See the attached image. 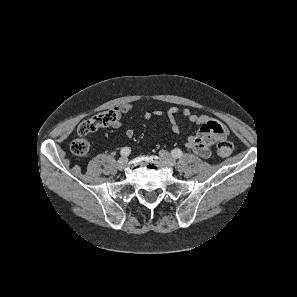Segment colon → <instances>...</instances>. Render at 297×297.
<instances>
[{"instance_id": "colon-1", "label": "colon", "mask_w": 297, "mask_h": 297, "mask_svg": "<svg viewBox=\"0 0 297 297\" xmlns=\"http://www.w3.org/2000/svg\"><path fill=\"white\" fill-rule=\"evenodd\" d=\"M118 118L117 110H107L83 121L77 129L79 137L71 143V152L78 157L86 156L90 150V143L85 137L102 127L112 125ZM232 151L233 145L230 141L222 140L217 144V152L221 157L230 156Z\"/></svg>"}]
</instances>
